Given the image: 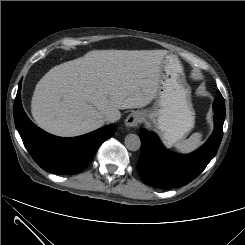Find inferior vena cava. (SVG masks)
<instances>
[{"instance_id": "602c4592", "label": "inferior vena cava", "mask_w": 245, "mask_h": 245, "mask_svg": "<svg viewBox=\"0 0 245 245\" xmlns=\"http://www.w3.org/2000/svg\"><path fill=\"white\" fill-rule=\"evenodd\" d=\"M119 119H120V113L117 111H110L103 117V121L107 123H113Z\"/></svg>"}]
</instances>
